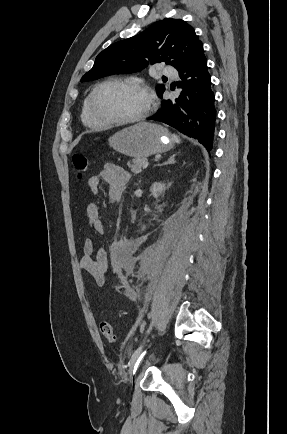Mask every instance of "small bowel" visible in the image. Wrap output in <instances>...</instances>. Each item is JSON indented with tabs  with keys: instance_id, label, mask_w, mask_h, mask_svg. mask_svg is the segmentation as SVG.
Segmentation results:
<instances>
[{
	"instance_id": "small-bowel-1",
	"label": "small bowel",
	"mask_w": 287,
	"mask_h": 434,
	"mask_svg": "<svg viewBox=\"0 0 287 434\" xmlns=\"http://www.w3.org/2000/svg\"><path fill=\"white\" fill-rule=\"evenodd\" d=\"M130 180V173L122 166L107 163L104 167L88 179V187L91 192L98 193L101 183L108 187V196L111 202H119L122 198L127 184ZM85 218L98 235H105L107 228L100 219L99 205L89 203L85 208ZM80 269L87 273L94 283L103 286L106 283L109 261L106 251L97 248L92 238H87L83 244V254L80 259Z\"/></svg>"
}]
</instances>
